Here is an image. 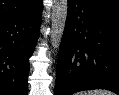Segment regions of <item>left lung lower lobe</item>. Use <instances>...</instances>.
<instances>
[{
	"label": "left lung lower lobe",
	"instance_id": "0a47b994",
	"mask_svg": "<svg viewBox=\"0 0 119 95\" xmlns=\"http://www.w3.org/2000/svg\"><path fill=\"white\" fill-rule=\"evenodd\" d=\"M91 89L119 94V10L89 0H68L55 94Z\"/></svg>",
	"mask_w": 119,
	"mask_h": 95
}]
</instances>
